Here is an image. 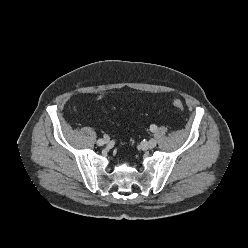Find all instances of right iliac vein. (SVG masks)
Returning a JSON list of instances; mask_svg holds the SVG:
<instances>
[{"mask_svg": "<svg viewBox=\"0 0 248 248\" xmlns=\"http://www.w3.org/2000/svg\"><path fill=\"white\" fill-rule=\"evenodd\" d=\"M101 140H102V145L107 144L109 142V139H101Z\"/></svg>", "mask_w": 248, "mask_h": 248, "instance_id": "1", "label": "right iliac vein"}]
</instances>
